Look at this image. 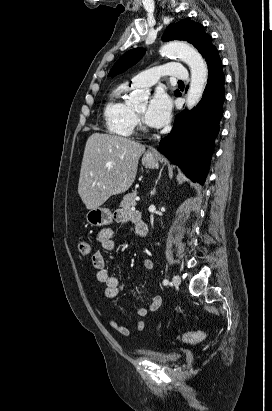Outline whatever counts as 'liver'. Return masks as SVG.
<instances>
[{"label":"liver","mask_w":272,"mask_h":411,"mask_svg":"<svg viewBox=\"0 0 272 411\" xmlns=\"http://www.w3.org/2000/svg\"><path fill=\"white\" fill-rule=\"evenodd\" d=\"M145 146L129 138L94 133L85 146L78 194L88 210L133 184Z\"/></svg>","instance_id":"1"}]
</instances>
